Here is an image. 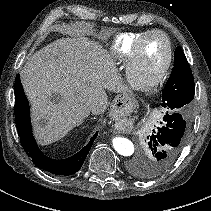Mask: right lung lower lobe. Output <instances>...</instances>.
<instances>
[{"instance_id":"right-lung-lower-lobe-1","label":"right lung lower lobe","mask_w":211,"mask_h":211,"mask_svg":"<svg viewBox=\"0 0 211 211\" xmlns=\"http://www.w3.org/2000/svg\"><path fill=\"white\" fill-rule=\"evenodd\" d=\"M15 121L17 130L21 137V144L32 161L41 169L46 170L55 175H72L76 173L83 165L85 158L95 140L98 133L90 139L88 144L75 155L63 159L55 160L45 156L38 148L32 134L30 123L29 103L24 94L23 87L20 81V75L17 74L15 79Z\"/></svg>"}]
</instances>
